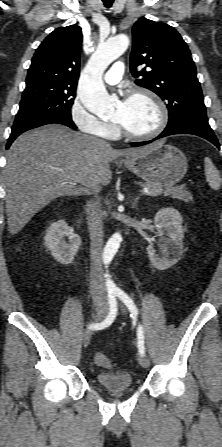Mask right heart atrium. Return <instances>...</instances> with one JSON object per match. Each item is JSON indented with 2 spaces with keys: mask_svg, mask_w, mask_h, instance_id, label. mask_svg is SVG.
<instances>
[{
  "mask_svg": "<svg viewBox=\"0 0 222 447\" xmlns=\"http://www.w3.org/2000/svg\"><path fill=\"white\" fill-rule=\"evenodd\" d=\"M85 104L86 101L82 97L73 104L70 111L72 122L84 133L107 137L114 130L115 125L111 122L102 121L90 113Z\"/></svg>",
  "mask_w": 222,
  "mask_h": 447,
  "instance_id": "obj_1",
  "label": "right heart atrium"
}]
</instances>
